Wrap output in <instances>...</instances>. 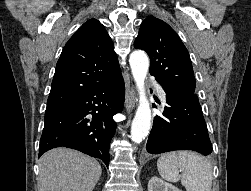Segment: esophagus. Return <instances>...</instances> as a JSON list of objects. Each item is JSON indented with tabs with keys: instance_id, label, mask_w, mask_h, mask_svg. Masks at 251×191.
Segmentation results:
<instances>
[{
	"instance_id": "esophagus-1",
	"label": "esophagus",
	"mask_w": 251,
	"mask_h": 191,
	"mask_svg": "<svg viewBox=\"0 0 251 191\" xmlns=\"http://www.w3.org/2000/svg\"><path fill=\"white\" fill-rule=\"evenodd\" d=\"M135 105V89L131 87L126 96V109L130 111L135 107Z\"/></svg>"
}]
</instances>
